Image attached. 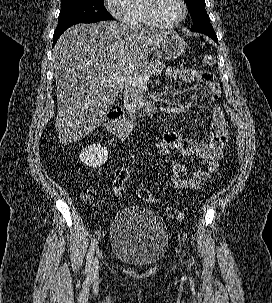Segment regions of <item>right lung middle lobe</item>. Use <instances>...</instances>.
Listing matches in <instances>:
<instances>
[{"label":"right lung middle lobe","instance_id":"1","mask_svg":"<svg viewBox=\"0 0 272 303\" xmlns=\"http://www.w3.org/2000/svg\"><path fill=\"white\" fill-rule=\"evenodd\" d=\"M62 6L55 32L66 30L78 23L112 20L103 0H61Z\"/></svg>","mask_w":272,"mask_h":303}]
</instances>
